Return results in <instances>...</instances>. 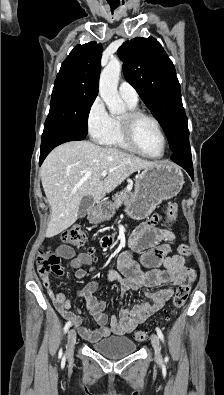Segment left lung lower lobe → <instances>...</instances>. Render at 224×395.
Segmentation results:
<instances>
[{
	"mask_svg": "<svg viewBox=\"0 0 224 395\" xmlns=\"http://www.w3.org/2000/svg\"><path fill=\"white\" fill-rule=\"evenodd\" d=\"M171 160L183 167L192 179L194 178L189 137L173 152Z\"/></svg>",
	"mask_w": 224,
	"mask_h": 395,
	"instance_id": "1",
	"label": "left lung lower lobe"
}]
</instances>
